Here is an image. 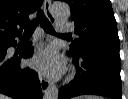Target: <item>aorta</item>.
<instances>
[{"instance_id":"762f6f07","label":"aorta","mask_w":128,"mask_h":99,"mask_svg":"<svg viewBox=\"0 0 128 99\" xmlns=\"http://www.w3.org/2000/svg\"><path fill=\"white\" fill-rule=\"evenodd\" d=\"M52 12L56 18L66 19L70 16V7L66 2L55 1L52 4ZM58 88L56 86H51L45 92L44 99H57L58 98Z\"/></svg>"}]
</instances>
